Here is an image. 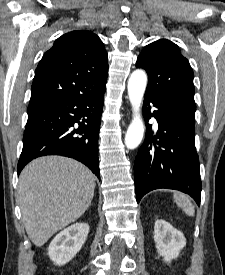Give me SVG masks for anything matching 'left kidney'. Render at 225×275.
<instances>
[{
  "label": "left kidney",
  "mask_w": 225,
  "mask_h": 275,
  "mask_svg": "<svg viewBox=\"0 0 225 275\" xmlns=\"http://www.w3.org/2000/svg\"><path fill=\"white\" fill-rule=\"evenodd\" d=\"M156 249L166 262L178 257L186 245L184 235L164 220H157L154 225Z\"/></svg>",
  "instance_id": "obj_1"
}]
</instances>
